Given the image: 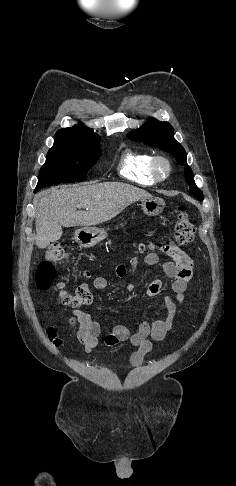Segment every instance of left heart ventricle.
<instances>
[{
	"mask_svg": "<svg viewBox=\"0 0 236 486\" xmlns=\"http://www.w3.org/2000/svg\"><path fill=\"white\" fill-rule=\"evenodd\" d=\"M164 171H165V169H164V167L162 166V167H161V172H162V173H164Z\"/></svg>",
	"mask_w": 236,
	"mask_h": 486,
	"instance_id": "obj_1",
	"label": "left heart ventricle"
}]
</instances>
